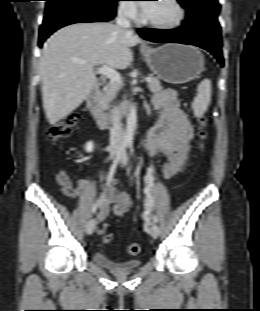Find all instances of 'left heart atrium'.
Wrapping results in <instances>:
<instances>
[{"instance_id": "39dd6f15", "label": "left heart atrium", "mask_w": 260, "mask_h": 311, "mask_svg": "<svg viewBox=\"0 0 260 311\" xmlns=\"http://www.w3.org/2000/svg\"><path fill=\"white\" fill-rule=\"evenodd\" d=\"M151 7V4L150 3H145L143 4V9L145 10V12H147Z\"/></svg>"}]
</instances>
